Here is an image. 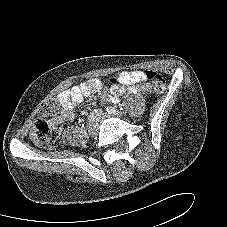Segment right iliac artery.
I'll use <instances>...</instances> for the list:
<instances>
[{
  "mask_svg": "<svg viewBox=\"0 0 227 227\" xmlns=\"http://www.w3.org/2000/svg\"><path fill=\"white\" fill-rule=\"evenodd\" d=\"M102 114V110L101 109H95L93 110L90 115L88 116V121H95L97 120Z\"/></svg>",
  "mask_w": 227,
  "mask_h": 227,
  "instance_id": "82829eb1",
  "label": "right iliac artery"
}]
</instances>
